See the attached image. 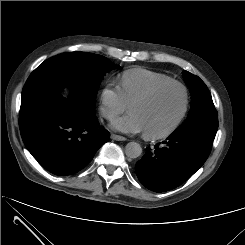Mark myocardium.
<instances>
[{
    "label": "myocardium",
    "mask_w": 245,
    "mask_h": 245,
    "mask_svg": "<svg viewBox=\"0 0 245 245\" xmlns=\"http://www.w3.org/2000/svg\"><path fill=\"white\" fill-rule=\"evenodd\" d=\"M170 86H176L182 90L183 95H184V104H183L182 110L178 118L175 120V122L169 128L165 129L164 131H161L158 133L144 132L145 138L149 140H160V139L167 138L170 135H172L180 127L189 109L190 94H189L188 88L183 83L176 81V80L161 82V83H158L152 86L145 93L137 96L136 98L131 100V102L128 104V109L130 110L131 106H133L134 104L147 102L151 100L160 90L166 87H170Z\"/></svg>",
    "instance_id": "obj_1"
}]
</instances>
